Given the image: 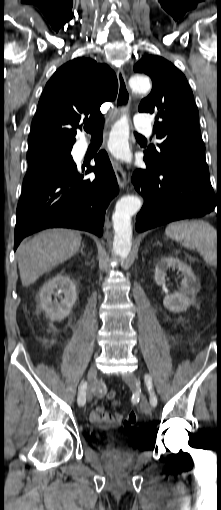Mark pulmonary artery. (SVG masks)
I'll use <instances>...</instances> for the list:
<instances>
[{
  "mask_svg": "<svg viewBox=\"0 0 221 510\" xmlns=\"http://www.w3.org/2000/svg\"><path fill=\"white\" fill-rule=\"evenodd\" d=\"M134 128L146 135H149L152 130V123L147 115L140 113L137 114L133 122Z\"/></svg>",
  "mask_w": 221,
  "mask_h": 510,
  "instance_id": "obj_1",
  "label": "pulmonary artery"
}]
</instances>
